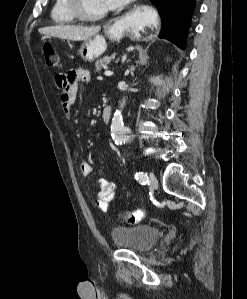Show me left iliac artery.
<instances>
[{
    "label": "left iliac artery",
    "mask_w": 247,
    "mask_h": 299,
    "mask_svg": "<svg viewBox=\"0 0 247 299\" xmlns=\"http://www.w3.org/2000/svg\"><path fill=\"white\" fill-rule=\"evenodd\" d=\"M135 178H136V180H138L139 183L142 184V185H145V184L149 183V179H148L147 174H145V173H143V172H137V173L135 174Z\"/></svg>",
    "instance_id": "obj_1"
}]
</instances>
